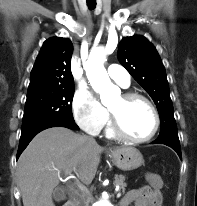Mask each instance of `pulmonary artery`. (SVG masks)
Here are the masks:
<instances>
[{
  "instance_id": "e3ab8cb5",
  "label": "pulmonary artery",
  "mask_w": 197,
  "mask_h": 206,
  "mask_svg": "<svg viewBox=\"0 0 197 206\" xmlns=\"http://www.w3.org/2000/svg\"><path fill=\"white\" fill-rule=\"evenodd\" d=\"M109 77L122 87H128L130 84V76L125 68L119 64H112L107 69Z\"/></svg>"
}]
</instances>
